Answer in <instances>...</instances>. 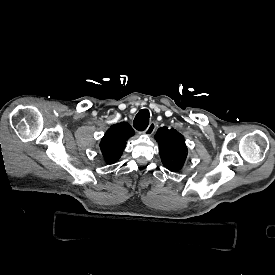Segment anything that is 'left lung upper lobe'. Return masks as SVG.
I'll return each mask as SVG.
<instances>
[{
    "label": "left lung upper lobe",
    "mask_w": 275,
    "mask_h": 275,
    "mask_svg": "<svg viewBox=\"0 0 275 275\" xmlns=\"http://www.w3.org/2000/svg\"><path fill=\"white\" fill-rule=\"evenodd\" d=\"M155 139L159 143L163 165L172 172L180 171L188 153L183 135L173 128L161 127L158 129Z\"/></svg>",
    "instance_id": "obj_1"
}]
</instances>
